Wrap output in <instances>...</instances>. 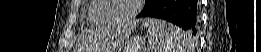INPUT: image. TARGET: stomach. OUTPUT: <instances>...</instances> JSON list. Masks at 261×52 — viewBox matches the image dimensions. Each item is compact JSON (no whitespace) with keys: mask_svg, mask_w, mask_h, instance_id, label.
<instances>
[{"mask_svg":"<svg viewBox=\"0 0 261 52\" xmlns=\"http://www.w3.org/2000/svg\"><path fill=\"white\" fill-rule=\"evenodd\" d=\"M141 39L139 38H134L131 40L127 46L121 45L117 47L115 52H139L140 46H141Z\"/></svg>","mask_w":261,"mask_h":52,"instance_id":"0dacf381","label":"stomach"}]
</instances>
